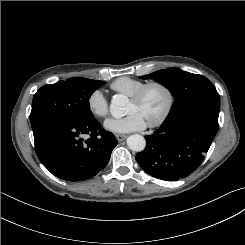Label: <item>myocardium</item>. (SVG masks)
<instances>
[{
  "label": "myocardium",
  "mask_w": 245,
  "mask_h": 245,
  "mask_svg": "<svg viewBox=\"0 0 245 245\" xmlns=\"http://www.w3.org/2000/svg\"><path fill=\"white\" fill-rule=\"evenodd\" d=\"M152 88L161 89L165 93L167 101L163 112L156 119L147 123L149 128L160 126L169 117L175 104V95L173 90L167 84L159 81H153L144 84L130 96V100L133 102L142 101L147 92Z\"/></svg>",
  "instance_id": "obj_1"
}]
</instances>
